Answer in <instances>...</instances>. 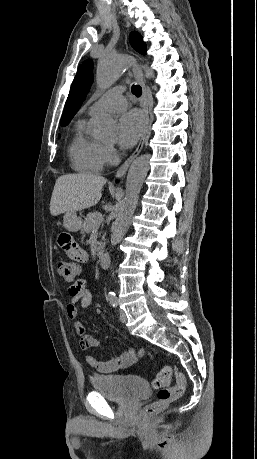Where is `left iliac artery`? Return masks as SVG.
<instances>
[{
    "label": "left iliac artery",
    "instance_id": "left-iliac-artery-1",
    "mask_svg": "<svg viewBox=\"0 0 257 459\" xmlns=\"http://www.w3.org/2000/svg\"><path fill=\"white\" fill-rule=\"evenodd\" d=\"M108 300L113 307H117L118 301H117V296L115 295V293H110L108 295Z\"/></svg>",
    "mask_w": 257,
    "mask_h": 459
}]
</instances>
